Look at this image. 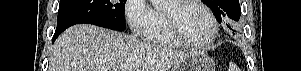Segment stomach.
<instances>
[{"mask_svg": "<svg viewBox=\"0 0 301 71\" xmlns=\"http://www.w3.org/2000/svg\"><path fill=\"white\" fill-rule=\"evenodd\" d=\"M170 71H215V63L204 51H193Z\"/></svg>", "mask_w": 301, "mask_h": 71, "instance_id": "obj_1", "label": "stomach"}]
</instances>
